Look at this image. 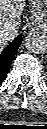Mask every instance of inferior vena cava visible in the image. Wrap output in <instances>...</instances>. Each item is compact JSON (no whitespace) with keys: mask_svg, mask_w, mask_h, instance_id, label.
Instances as JSON below:
<instances>
[{"mask_svg":"<svg viewBox=\"0 0 47 129\" xmlns=\"http://www.w3.org/2000/svg\"><path fill=\"white\" fill-rule=\"evenodd\" d=\"M17 35V31L12 29H2L0 31V39L2 41H11L13 40Z\"/></svg>","mask_w":47,"mask_h":129,"instance_id":"602c4592","label":"inferior vena cava"}]
</instances>
